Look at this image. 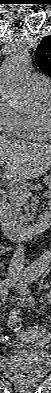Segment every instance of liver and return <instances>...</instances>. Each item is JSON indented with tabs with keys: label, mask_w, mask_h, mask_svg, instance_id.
Segmentation results:
<instances>
[{
	"label": "liver",
	"mask_w": 51,
	"mask_h": 393,
	"mask_svg": "<svg viewBox=\"0 0 51 393\" xmlns=\"http://www.w3.org/2000/svg\"><path fill=\"white\" fill-rule=\"evenodd\" d=\"M1 177L8 180L35 179L51 167V145H26L0 137Z\"/></svg>",
	"instance_id": "1"
}]
</instances>
